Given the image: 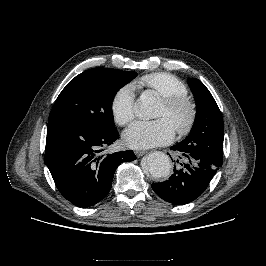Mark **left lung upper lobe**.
Masks as SVG:
<instances>
[{
    "label": "left lung upper lobe",
    "instance_id": "1",
    "mask_svg": "<svg viewBox=\"0 0 266 266\" xmlns=\"http://www.w3.org/2000/svg\"><path fill=\"white\" fill-rule=\"evenodd\" d=\"M188 84L197 104V118L192 133L176 145L183 152L222 165L224 123L221 112L213 96L200 80L189 78Z\"/></svg>",
    "mask_w": 266,
    "mask_h": 266
}]
</instances>
